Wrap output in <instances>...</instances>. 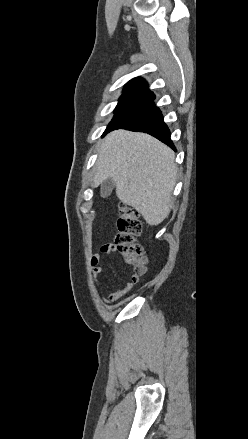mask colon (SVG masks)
Returning <instances> with one entry per match:
<instances>
[{
	"label": "colon",
	"mask_w": 248,
	"mask_h": 439,
	"mask_svg": "<svg viewBox=\"0 0 248 439\" xmlns=\"http://www.w3.org/2000/svg\"><path fill=\"white\" fill-rule=\"evenodd\" d=\"M117 226L115 249L121 254L125 263L133 269V275L140 278L145 273L147 260L143 248L137 241L141 232L137 210L127 204H121Z\"/></svg>",
	"instance_id": "colon-1"
}]
</instances>
